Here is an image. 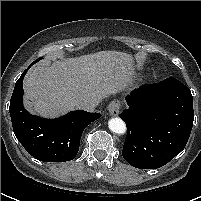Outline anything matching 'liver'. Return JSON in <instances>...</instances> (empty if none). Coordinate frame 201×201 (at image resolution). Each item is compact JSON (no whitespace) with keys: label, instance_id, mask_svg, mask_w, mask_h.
<instances>
[{"label":"liver","instance_id":"liver-1","mask_svg":"<svg viewBox=\"0 0 201 201\" xmlns=\"http://www.w3.org/2000/svg\"><path fill=\"white\" fill-rule=\"evenodd\" d=\"M130 54L99 51L33 67L24 79L26 107L46 118L76 108L80 97L102 98L124 91L133 83Z\"/></svg>","mask_w":201,"mask_h":201}]
</instances>
